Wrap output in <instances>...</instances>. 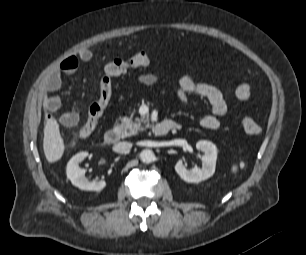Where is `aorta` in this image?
<instances>
[{"label":"aorta","instance_id":"obj_1","mask_svg":"<svg viewBox=\"0 0 306 255\" xmlns=\"http://www.w3.org/2000/svg\"><path fill=\"white\" fill-rule=\"evenodd\" d=\"M140 159L143 163L149 164L155 160L153 151L145 149L140 153Z\"/></svg>","mask_w":306,"mask_h":255}]
</instances>
